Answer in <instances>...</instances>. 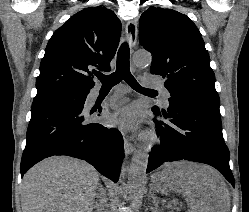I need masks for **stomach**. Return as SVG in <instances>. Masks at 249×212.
<instances>
[{"label":"stomach","instance_id":"1","mask_svg":"<svg viewBox=\"0 0 249 212\" xmlns=\"http://www.w3.org/2000/svg\"><path fill=\"white\" fill-rule=\"evenodd\" d=\"M158 193H169V189H173V184H156Z\"/></svg>","mask_w":249,"mask_h":212}]
</instances>
